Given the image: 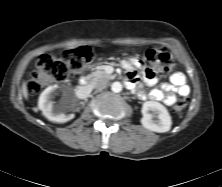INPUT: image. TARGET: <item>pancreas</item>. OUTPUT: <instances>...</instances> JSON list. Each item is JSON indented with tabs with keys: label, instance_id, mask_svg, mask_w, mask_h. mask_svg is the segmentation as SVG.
I'll return each instance as SVG.
<instances>
[{
	"label": "pancreas",
	"instance_id": "1",
	"mask_svg": "<svg viewBox=\"0 0 222 187\" xmlns=\"http://www.w3.org/2000/svg\"><path fill=\"white\" fill-rule=\"evenodd\" d=\"M91 77L112 79L114 78V75L107 74L104 70H97L91 74Z\"/></svg>",
	"mask_w": 222,
	"mask_h": 187
}]
</instances>
